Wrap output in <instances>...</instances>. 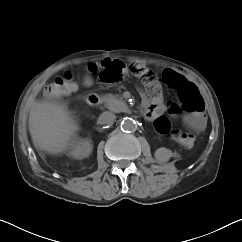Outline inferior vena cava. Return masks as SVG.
Wrapping results in <instances>:
<instances>
[{"instance_id":"602c4592","label":"inferior vena cava","mask_w":242,"mask_h":242,"mask_svg":"<svg viewBox=\"0 0 242 242\" xmlns=\"http://www.w3.org/2000/svg\"><path fill=\"white\" fill-rule=\"evenodd\" d=\"M116 116L114 113L106 111L99 116V121L102 124H110L115 120Z\"/></svg>"}]
</instances>
